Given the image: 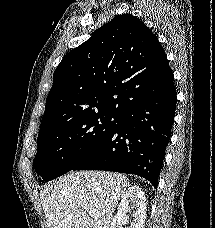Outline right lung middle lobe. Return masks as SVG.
Masks as SVG:
<instances>
[{"label": "right lung middle lobe", "mask_w": 215, "mask_h": 228, "mask_svg": "<svg viewBox=\"0 0 215 228\" xmlns=\"http://www.w3.org/2000/svg\"><path fill=\"white\" fill-rule=\"evenodd\" d=\"M118 114L100 113L40 129L33 166L45 182L77 165L115 127Z\"/></svg>", "instance_id": "1"}]
</instances>
